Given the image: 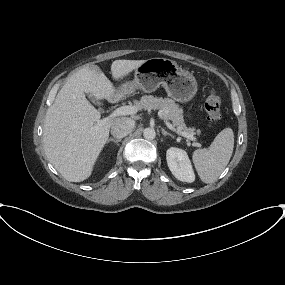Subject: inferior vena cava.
<instances>
[{"instance_id": "obj_1", "label": "inferior vena cava", "mask_w": 285, "mask_h": 285, "mask_svg": "<svg viewBox=\"0 0 285 285\" xmlns=\"http://www.w3.org/2000/svg\"><path fill=\"white\" fill-rule=\"evenodd\" d=\"M134 128V121L130 118H117L114 120L111 126V134L117 138L121 139L126 137Z\"/></svg>"}]
</instances>
